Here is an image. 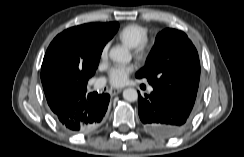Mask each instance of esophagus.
Wrapping results in <instances>:
<instances>
[{"label":"esophagus","mask_w":244,"mask_h":157,"mask_svg":"<svg viewBox=\"0 0 244 157\" xmlns=\"http://www.w3.org/2000/svg\"><path fill=\"white\" fill-rule=\"evenodd\" d=\"M121 91H122V88L112 89V90H110V95L115 96V95L119 94Z\"/></svg>","instance_id":"esophagus-1"}]
</instances>
